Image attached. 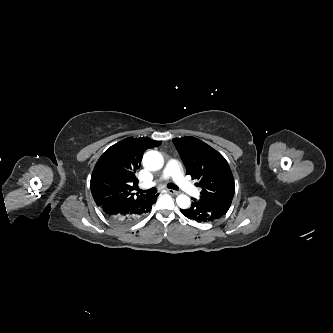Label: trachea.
Segmentation results:
<instances>
[{"label": "trachea", "instance_id": "trachea-1", "mask_svg": "<svg viewBox=\"0 0 333 333\" xmlns=\"http://www.w3.org/2000/svg\"><path fill=\"white\" fill-rule=\"evenodd\" d=\"M167 188H169V189H173V190H178V187H177L175 184H173V183H169V184L167 185ZM139 191H140V192H143V191H141V190H139ZM156 192H157V189H156V188H150V189L144 191V193H146V194H148V195L155 194Z\"/></svg>", "mask_w": 333, "mask_h": 333}]
</instances>
